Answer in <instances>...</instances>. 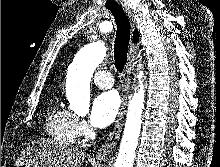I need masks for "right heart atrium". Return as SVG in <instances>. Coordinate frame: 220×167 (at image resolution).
I'll return each mask as SVG.
<instances>
[{"mask_svg":"<svg viewBox=\"0 0 220 167\" xmlns=\"http://www.w3.org/2000/svg\"><path fill=\"white\" fill-rule=\"evenodd\" d=\"M73 126L77 137H86L90 133L87 122L80 116L73 115Z\"/></svg>","mask_w":220,"mask_h":167,"instance_id":"right-heart-atrium-1","label":"right heart atrium"}]
</instances>
